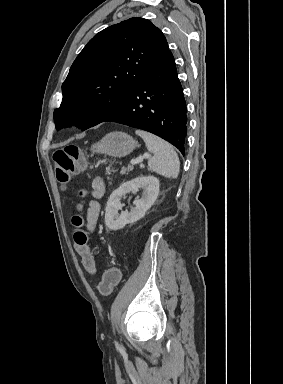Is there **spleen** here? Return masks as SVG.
Segmentation results:
<instances>
[{"label": "spleen", "instance_id": "obj_1", "mask_svg": "<svg viewBox=\"0 0 283 384\" xmlns=\"http://www.w3.org/2000/svg\"><path fill=\"white\" fill-rule=\"evenodd\" d=\"M135 134L143 138L148 152L154 154L148 160V168L150 172H156L165 178H177L180 170L179 158L174 152L173 146L164 142L161 138L148 134V132H141L136 130Z\"/></svg>", "mask_w": 283, "mask_h": 384}]
</instances>
